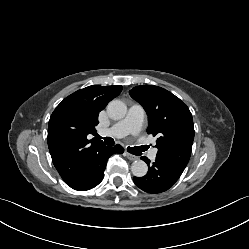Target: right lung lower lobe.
<instances>
[{
    "instance_id": "right-lung-lower-lobe-1",
    "label": "right lung lower lobe",
    "mask_w": 249,
    "mask_h": 249,
    "mask_svg": "<svg viewBox=\"0 0 249 249\" xmlns=\"http://www.w3.org/2000/svg\"><path fill=\"white\" fill-rule=\"evenodd\" d=\"M124 149L120 145L108 147L101 145L97 147L88 160L79 168L74 177L66 182L75 190H89L97 186L104 177V170L108 158L113 153H123Z\"/></svg>"
}]
</instances>
